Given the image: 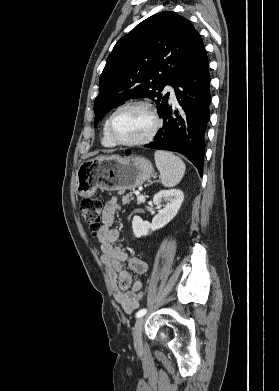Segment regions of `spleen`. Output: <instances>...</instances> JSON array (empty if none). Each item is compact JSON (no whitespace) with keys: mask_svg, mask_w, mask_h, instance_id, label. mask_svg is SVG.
I'll use <instances>...</instances> for the list:
<instances>
[{"mask_svg":"<svg viewBox=\"0 0 279 391\" xmlns=\"http://www.w3.org/2000/svg\"><path fill=\"white\" fill-rule=\"evenodd\" d=\"M155 164L160 172L161 183L165 187L176 186L185 174V164L173 153L157 150L154 154Z\"/></svg>","mask_w":279,"mask_h":391,"instance_id":"spleen-1","label":"spleen"}]
</instances>
